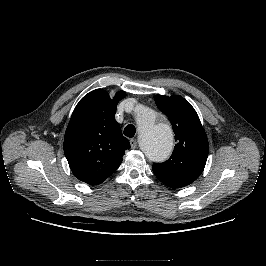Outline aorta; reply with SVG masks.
I'll use <instances>...</instances> for the list:
<instances>
[{"label":"aorta","instance_id":"1","mask_svg":"<svg viewBox=\"0 0 266 266\" xmlns=\"http://www.w3.org/2000/svg\"><path fill=\"white\" fill-rule=\"evenodd\" d=\"M139 127V144L145 155L152 161H163L173 147L171 127L161 121L153 110L141 106L136 113Z\"/></svg>","mask_w":266,"mask_h":266}]
</instances>
